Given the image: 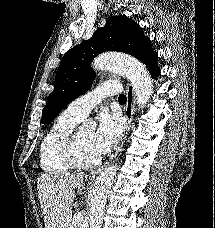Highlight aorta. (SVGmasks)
I'll list each match as a JSON object with an SVG mask.
<instances>
[{
	"mask_svg": "<svg viewBox=\"0 0 215 228\" xmlns=\"http://www.w3.org/2000/svg\"><path fill=\"white\" fill-rule=\"evenodd\" d=\"M92 68L94 70H111V72L115 70V72L125 74L133 86L139 108H145L153 94V88L152 78L141 62L134 60V58H128V56L101 54L93 60ZM117 170L116 164L104 168L94 184L89 206L90 228H102L108 192L114 182Z\"/></svg>",
	"mask_w": 215,
	"mask_h": 228,
	"instance_id": "obj_1",
	"label": "aorta"
}]
</instances>
